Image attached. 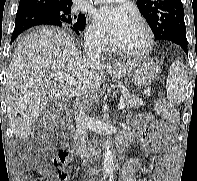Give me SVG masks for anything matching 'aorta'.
Listing matches in <instances>:
<instances>
[{"instance_id":"762f6f07","label":"aorta","mask_w":197,"mask_h":181,"mask_svg":"<svg viewBox=\"0 0 197 181\" xmlns=\"http://www.w3.org/2000/svg\"><path fill=\"white\" fill-rule=\"evenodd\" d=\"M114 156L111 150V145L108 140L104 142V159H103V179L105 180L113 170Z\"/></svg>"}]
</instances>
